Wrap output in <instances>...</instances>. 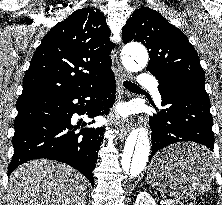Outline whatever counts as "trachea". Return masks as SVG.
<instances>
[{"instance_id":"3493384b","label":"trachea","mask_w":222,"mask_h":205,"mask_svg":"<svg viewBox=\"0 0 222 205\" xmlns=\"http://www.w3.org/2000/svg\"><path fill=\"white\" fill-rule=\"evenodd\" d=\"M123 85L129 89V90H142L139 86H137L134 83L128 82V81H124Z\"/></svg>"}]
</instances>
